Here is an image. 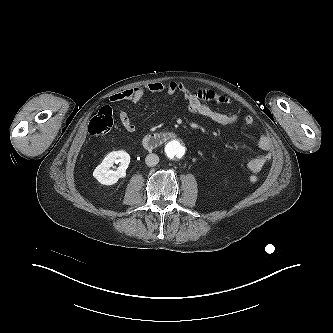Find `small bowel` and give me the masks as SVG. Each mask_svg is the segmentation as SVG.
<instances>
[{"label": "small bowel", "instance_id": "obj_1", "mask_svg": "<svg viewBox=\"0 0 333 333\" xmlns=\"http://www.w3.org/2000/svg\"><path fill=\"white\" fill-rule=\"evenodd\" d=\"M148 93L181 95L186 104V108L189 112L201 115L210 119L211 121L219 125H231L240 120V114L237 112L223 113L214 110L209 104H229V100L216 93L213 90L205 88L190 89L182 82L171 81L168 83L155 82L146 85L128 88L119 92H116L110 96L112 103H118L120 101L137 102L145 97ZM119 119L124 129L130 133L136 131V125L131 121L130 117L124 110H119ZM244 122L248 126H252L255 123L253 116L246 115ZM257 146L263 152L259 156L251 159L247 167L252 173H258L265 168L271 161V142L265 135H261L257 138Z\"/></svg>", "mask_w": 333, "mask_h": 333}]
</instances>
